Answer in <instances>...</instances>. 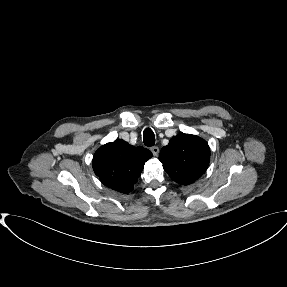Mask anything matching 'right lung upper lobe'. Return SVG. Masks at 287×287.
Returning <instances> with one entry per match:
<instances>
[{
	"label": "right lung upper lobe",
	"mask_w": 287,
	"mask_h": 287,
	"mask_svg": "<svg viewBox=\"0 0 287 287\" xmlns=\"http://www.w3.org/2000/svg\"><path fill=\"white\" fill-rule=\"evenodd\" d=\"M152 153L143 147H134L122 139L101 146L94 154L92 166L100 181L121 193L133 190L145 162Z\"/></svg>",
	"instance_id": "obj_1"
}]
</instances>
